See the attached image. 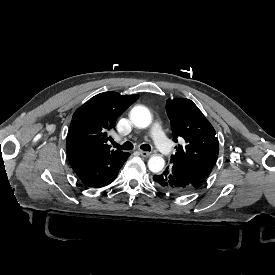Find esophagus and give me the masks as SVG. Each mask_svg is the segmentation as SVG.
Here are the masks:
<instances>
[{
    "instance_id": "esophagus-1",
    "label": "esophagus",
    "mask_w": 275,
    "mask_h": 275,
    "mask_svg": "<svg viewBox=\"0 0 275 275\" xmlns=\"http://www.w3.org/2000/svg\"><path fill=\"white\" fill-rule=\"evenodd\" d=\"M139 153L141 154V156H143V157H145V158H147V157L150 156V153L147 152V151H142V150H140Z\"/></svg>"
}]
</instances>
